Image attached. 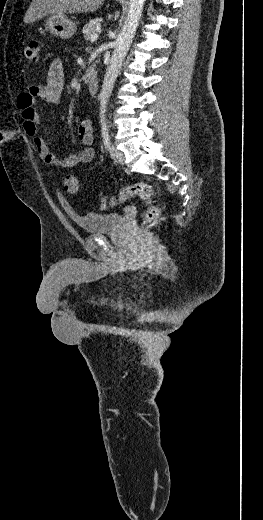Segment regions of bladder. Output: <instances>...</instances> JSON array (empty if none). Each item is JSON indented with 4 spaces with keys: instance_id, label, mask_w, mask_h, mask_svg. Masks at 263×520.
I'll list each match as a JSON object with an SVG mask.
<instances>
[{
    "instance_id": "obj_1",
    "label": "bladder",
    "mask_w": 263,
    "mask_h": 520,
    "mask_svg": "<svg viewBox=\"0 0 263 520\" xmlns=\"http://www.w3.org/2000/svg\"><path fill=\"white\" fill-rule=\"evenodd\" d=\"M76 225L86 234L116 233L126 226V218L118 213H86L74 215Z\"/></svg>"
}]
</instances>
